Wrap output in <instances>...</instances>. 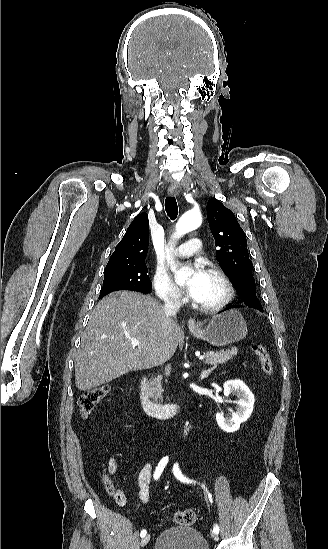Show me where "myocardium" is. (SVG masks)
Segmentation results:
<instances>
[{
    "mask_svg": "<svg viewBox=\"0 0 328 549\" xmlns=\"http://www.w3.org/2000/svg\"><path fill=\"white\" fill-rule=\"evenodd\" d=\"M196 264L200 266H207L210 268L206 272L216 275L221 280L224 286V293L218 301L212 304H202L194 301L195 307L199 311L206 314H216L224 311L228 307V304L230 303L234 295V286L231 279L225 273L223 267L217 262L211 260H200L197 261Z\"/></svg>",
    "mask_w": 328,
    "mask_h": 549,
    "instance_id": "myocardium-1",
    "label": "myocardium"
}]
</instances>
